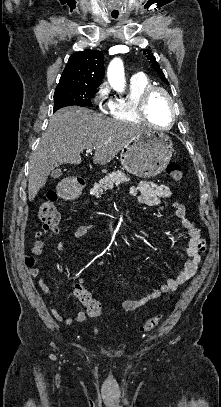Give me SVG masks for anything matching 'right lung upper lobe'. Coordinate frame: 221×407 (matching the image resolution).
Segmentation results:
<instances>
[{
  "label": "right lung upper lobe",
  "mask_w": 221,
  "mask_h": 407,
  "mask_svg": "<svg viewBox=\"0 0 221 407\" xmlns=\"http://www.w3.org/2000/svg\"><path fill=\"white\" fill-rule=\"evenodd\" d=\"M104 55L98 50H84L72 54L61 74L59 87H98L104 76Z\"/></svg>",
  "instance_id": "1"
}]
</instances>
